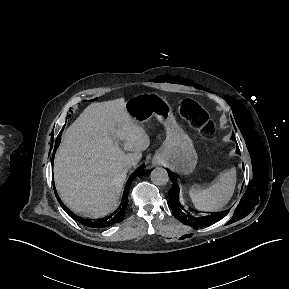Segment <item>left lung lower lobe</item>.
Listing matches in <instances>:
<instances>
[{"instance_id":"obj_1","label":"left lung lower lobe","mask_w":289,"mask_h":289,"mask_svg":"<svg viewBox=\"0 0 289 289\" xmlns=\"http://www.w3.org/2000/svg\"><path fill=\"white\" fill-rule=\"evenodd\" d=\"M171 176V175H170ZM169 176V177H170ZM173 180V186L172 189L168 192L169 193V204L172 208V211L175 215L179 217L182 223L187 224L189 226H207L209 224H212L214 222H217L222 217L217 218H196L190 215L181 205L179 201V187L175 179L171 176Z\"/></svg>"}]
</instances>
